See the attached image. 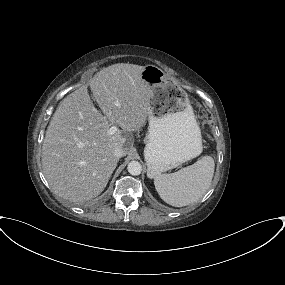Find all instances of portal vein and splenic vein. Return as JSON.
I'll return each instance as SVG.
<instances>
[{
  "instance_id": "obj_1",
  "label": "portal vein and splenic vein",
  "mask_w": 285,
  "mask_h": 285,
  "mask_svg": "<svg viewBox=\"0 0 285 285\" xmlns=\"http://www.w3.org/2000/svg\"><path fill=\"white\" fill-rule=\"evenodd\" d=\"M117 131H118L117 126L113 125V126L110 127V129L108 130V133H109L110 135H112V134L116 133Z\"/></svg>"
}]
</instances>
